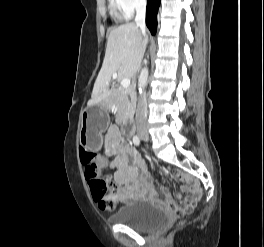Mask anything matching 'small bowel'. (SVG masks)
Returning a JSON list of instances; mask_svg holds the SVG:
<instances>
[{"label": "small bowel", "instance_id": "obj_1", "mask_svg": "<svg viewBox=\"0 0 264 247\" xmlns=\"http://www.w3.org/2000/svg\"><path fill=\"white\" fill-rule=\"evenodd\" d=\"M104 152L106 157L112 160L108 162L105 157H101L100 166H109L115 170V182L120 186L117 193L122 202H130L133 198L142 197L157 199L147 163L135 149L125 143L116 125H111L107 130ZM175 176L188 184L182 188V193L188 196L198 194L200 197L201 189L195 178L180 172H176ZM162 193L167 201L171 200V194L167 188H163Z\"/></svg>", "mask_w": 264, "mask_h": 247}]
</instances>
